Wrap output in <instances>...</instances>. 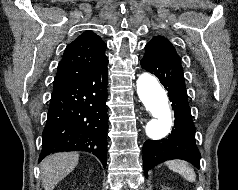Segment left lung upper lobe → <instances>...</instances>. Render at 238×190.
<instances>
[{
    "label": "left lung upper lobe",
    "mask_w": 238,
    "mask_h": 190,
    "mask_svg": "<svg viewBox=\"0 0 238 190\" xmlns=\"http://www.w3.org/2000/svg\"><path fill=\"white\" fill-rule=\"evenodd\" d=\"M146 52L153 55L181 60L173 45L163 36H156L145 46Z\"/></svg>",
    "instance_id": "obj_1"
}]
</instances>
